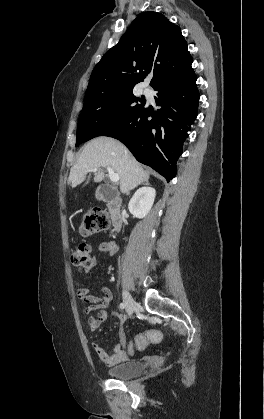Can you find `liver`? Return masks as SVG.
Segmentation results:
<instances>
[{
    "instance_id": "1",
    "label": "liver",
    "mask_w": 264,
    "mask_h": 419,
    "mask_svg": "<svg viewBox=\"0 0 264 419\" xmlns=\"http://www.w3.org/2000/svg\"><path fill=\"white\" fill-rule=\"evenodd\" d=\"M109 166L119 175L120 190L129 193L131 189L148 181L149 173L119 141L109 137H98L88 142L71 168L68 181L74 188L81 184L93 168L94 182L104 179L103 168Z\"/></svg>"
}]
</instances>
